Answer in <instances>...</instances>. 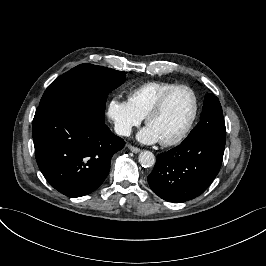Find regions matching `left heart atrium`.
<instances>
[{"instance_id":"1","label":"left heart atrium","mask_w":266,"mask_h":266,"mask_svg":"<svg viewBox=\"0 0 266 266\" xmlns=\"http://www.w3.org/2000/svg\"><path fill=\"white\" fill-rule=\"evenodd\" d=\"M138 138L145 143H154L160 140L157 132L149 124L140 130Z\"/></svg>"}]
</instances>
